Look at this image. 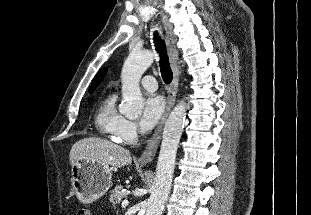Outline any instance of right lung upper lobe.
<instances>
[{"label": "right lung upper lobe", "instance_id": "obj_1", "mask_svg": "<svg viewBox=\"0 0 311 215\" xmlns=\"http://www.w3.org/2000/svg\"><path fill=\"white\" fill-rule=\"evenodd\" d=\"M106 72H107V69L103 68L96 74V76L94 77L92 81V85L90 86V89H89L90 93L93 92V90L99 85V83L102 81V79L106 75Z\"/></svg>", "mask_w": 311, "mask_h": 215}]
</instances>
